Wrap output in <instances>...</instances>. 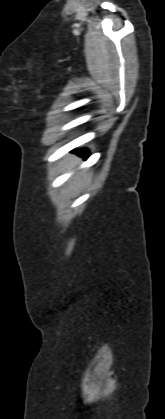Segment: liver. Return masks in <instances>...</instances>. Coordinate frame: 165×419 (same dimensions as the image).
Segmentation results:
<instances>
[{
  "label": "liver",
  "mask_w": 165,
  "mask_h": 419,
  "mask_svg": "<svg viewBox=\"0 0 165 419\" xmlns=\"http://www.w3.org/2000/svg\"><path fill=\"white\" fill-rule=\"evenodd\" d=\"M71 163H75V162H71ZM80 181V178L78 177V178H76V180H75V182L77 183V182H79Z\"/></svg>",
  "instance_id": "1"
}]
</instances>
